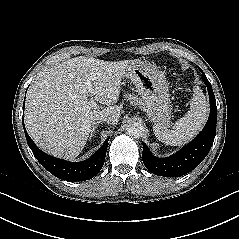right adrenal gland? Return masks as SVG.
Returning <instances> with one entry per match:
<instances>
[{"label": "right adrenal gland", "instance_id": "obj_1", "mask_svg": "<svg viewBox=\"0 0 239 239\" xmlns=\"http://www.w3.org/2000/svg\"><path fill=\"white\" fill-rule=\"evenodd\" d=\"M99 124H100L99 121H98V122H94V123L92 124V129H91V133H90L89 140H91L92 137L94 136V134H95V132H96V129H97V127H98Z\"/></svg>", "mask_w": 239, "mask_h": 239}]
</instances>
